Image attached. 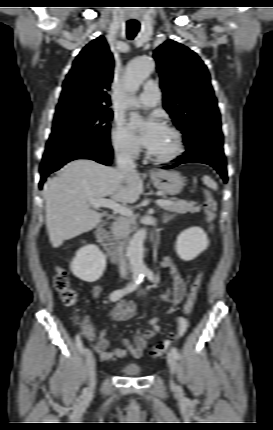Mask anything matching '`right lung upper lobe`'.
<instances>
[{
  "label": "right lung upper lobe",
  "instance_id": "right-lung-upper-lobe-1",
  "mask_svg": "<svg viewBox=\"0 0 273 430\" xmlns=\"http://www.w3.org/2000/svg\"><path fill=\"white\" fill-rule=\"evenodd\" d=\"M114 60L103 36L87 44L73 62L62 86L57 108L80 104L107 108Z\"/></svg>",
  "mask_w": 273,
  "mask_h": 430
}]
</instances>
